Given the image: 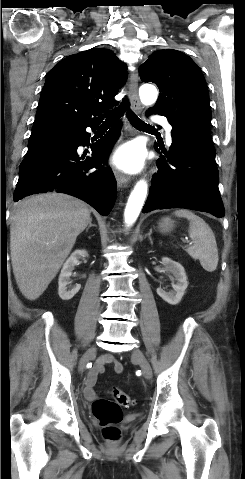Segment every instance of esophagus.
Segmentation results:
<instances>
[{"label":"esophagus","instance_id":"34e87169","mask_svg":"<svg viewBox=\"0 0 245 479\" xmlns=\"http://www.w3.org/2000/svg\"><path fill=\"white\" fill-rule=\"evenodd\" d=\"M129 96L130 103L133 110L140 112L142 109L141 103L138 97V73L132 71L129 78ZM114 175L116 177L119 187L127 185L130 181V177L118 169H114Z\"/></svg>","mask_w":245,"mask_h":479}]
</instances>
